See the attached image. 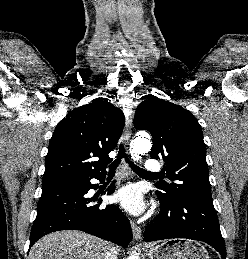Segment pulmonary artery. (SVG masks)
Here are the masks:
<instances>
[{
  "label": "pulmonary artery",
  "instance_id": "obj_1",
  "mask_svg": "<svg viewBox=\"0 0 248 259\" xmlns=\"http://www.w3.org/2000/svg\"><path fill=\"white\" fill-rule=\"evenodd\" d=\"M145 170L150 173H158L161 170V164L154 159H149L146 161Z\"/></svg>",
  "mask_w": 248,
  "mask_h": 259
}]
</instances>
